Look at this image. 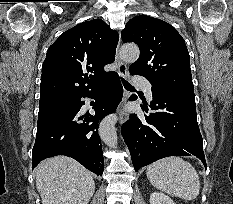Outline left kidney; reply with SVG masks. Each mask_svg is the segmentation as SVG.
I'll use <instances>...</instances> for the list:
<instances>
[{"mask_svg": "<svg viewBox=\"0 0 233 204\" xmlns=\"http://www.w3.org/2000/svg\"><path fill=\"white\" fill-rule=\"evenodd\" d=\"M150 204H175V202L164 193L153 192L150 195Z\"/></svg>", "mask_w": 233, "mask_h": 204, "instance_id": "obj_1", "label": "left kidney"}]
</instances>
